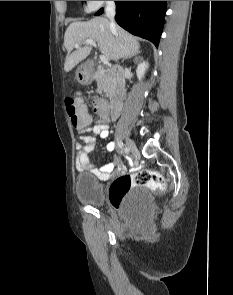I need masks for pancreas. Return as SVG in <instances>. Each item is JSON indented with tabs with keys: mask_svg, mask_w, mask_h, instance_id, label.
Wrapping results in <instances>:
<instances>
[{
	"mask_svg": "<svg viewBox=\"0 0 233 295\" xmlns=\"http://www.w3.org/2000/svg\"><path fill=\"white\" fill-rule=\"evenodd\" d=\"M98 90L103 91L107 97H112L116 90V83L113 76L105 74L102 70L96 76Z\"/></svg>",
	"mask_w": 233,
	"mask_h": 295,
	"instance_id": "pancreas-1",
	"label": "pancreas"
}]
</instances>
